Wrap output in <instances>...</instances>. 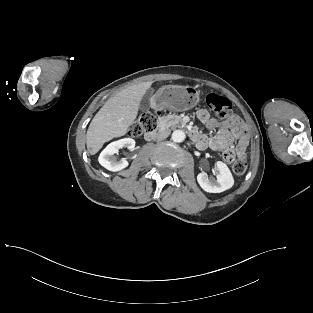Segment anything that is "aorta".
<instances>
[{"mask_svg":"<svg viewBox=\"0 0 313 313\" xmlns=\"http://www.w3.org/2000/svg\"><path fill=\"white\" fill-rule=\"evenodd\" d=\"M185 137L186 135L182 130H175L172 133V140L177 143L183 142Z\"/></svg>","mask_w":313,"mask_h":313,"instance_id":"aorta-1","label":"aorta"}]
</instances>
